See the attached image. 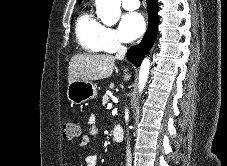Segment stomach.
<instances>
[{"label": "stomach", "mask_w": 227, "mask_h": 166, "mask_svg": "<svg viewBox=\"0 0 227 166\" xmlns=\"http://www.w3.org/2000/svg\"><path fill=\"white\" fill-rule=\"evenodd\" d=\"M97 95L96 86L92 82L75 80L67 87V98L73 104H82Z\"/></svg>", "instance_id": "1"}]
</instances>
